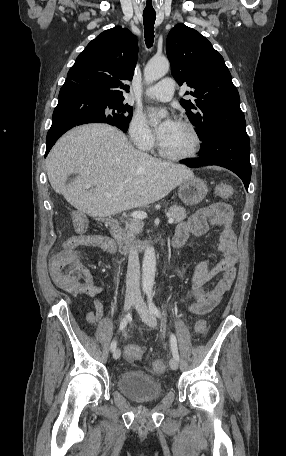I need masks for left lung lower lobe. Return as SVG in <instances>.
<instances>
[{"label":"left lung lower lobe","mask_w":286,"mask_h":456,"mask_svg":"<svg viewBox=\"0 0 286 456\" xmlns=\"http://www.w3.org/2000/svg\"><path fill=\"white\" fill-rule=\"evenodd\" d=\"M200 157L184 162L191 168L206 165H218L236 173L248 191L251 179L250 140L247 133L222 131L212 134L202 142Z\"/></svg>","instance_id":"left-lung-lower-lobe-1"}]
</instances>
